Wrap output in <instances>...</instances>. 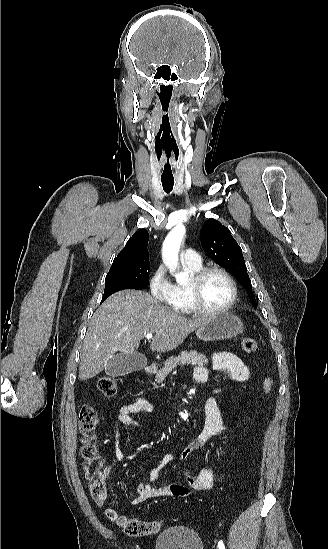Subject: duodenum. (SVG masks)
<instances>
[{
    "mask_svg": "<svg viewBox=\"0 0 328 549\" xmlns=\"http://www.w3.org/2000/svg\"><path fill=\"white\" fill-rule=\"evenodd\" d=\"M145 372H146L147 374H153V373L156 372V367H155L154 365H147V366L145 367ZM197 382H200V383H201V382H203V379H197Z\"/></svg>",
    "mask_w": 328,
    "mask_h": 549,
    "instance_id": "obj_1",
    "label": "duodenum"
}]
</instances>
